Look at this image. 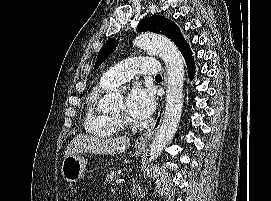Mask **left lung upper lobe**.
<instances>
[{
	"instance_id": "1",
	"label": "left lung upper lobe",
	"mask_w": 271,
	"mask_h": 201,
	"mask_svg": "<svg viewBox=\"0 0 271 201\" xmlns=\"http://www.w3.org/2000/svg\"><path fill=\"white\" fill-rule=\"evenodd\" d=\"M137 31H152L163 34L171 39L177 45L178 49H180L182 45L186 44V41L181 35L180 29L177 27V25L173 21L163 16L153 15L151 17L144 18L138 24ZM117 45L118 40L111 39L101 48L98 53L94 69H97L102 62H104L108 56L115 51Z\"/></svg>"
}]
</instances>
